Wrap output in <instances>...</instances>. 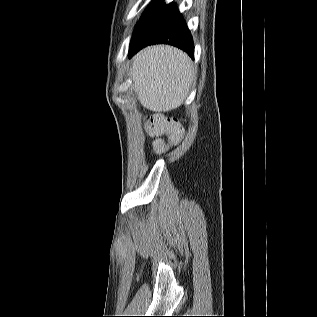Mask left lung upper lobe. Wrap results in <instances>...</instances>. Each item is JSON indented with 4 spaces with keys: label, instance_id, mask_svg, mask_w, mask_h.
<instances>
[{
    "label": "left lung upper lobe",
    "instance_id": "5c2ea615",
    "mask_svg": "<svg viewBox=\"0 0 317 317\" xmlns=\"http://www.w3.org/2000/svg\"><path fill=\"white\" fill-rule=\"evenodd\" d=\"M163 6V0H157L149 7L142 20L137 24L132 38L141 30V28L154 16V14Z\"/></svg>",
    "mask_w": 317,
    "mask_h": 317
}]
</instances>
